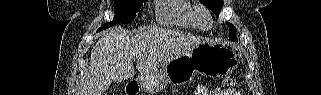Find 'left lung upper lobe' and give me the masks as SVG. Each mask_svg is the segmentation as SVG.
Segmentation results:
<instances>
[{"instance_id":"left-lung-upper-lobe-1","label":"left lung upper lobe","mask_w":321,"mask_h":95,"mask_svg":"<svg viewBox=\"0 0 321 95\" xmlns=\"http://www.w3.org/2000/svg\"><path fill=\"white\" fill-rule=\"evenodd\" d=\"M201 3H203L204 5H206L208 8H210L214 13H216V15L218 16L221 9H222V6H223V0H199ZM227 25L229 26V35H230V38L232 40H237L236 38V28L230 24V23H227Z\"/></svg>"}]
</instances>
